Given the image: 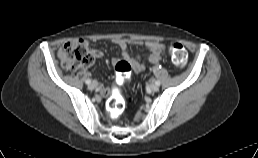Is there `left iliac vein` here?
I'll use <instances>...</instances> for the list:
<instances>
[{
	"mask_svg": "<svg viewBox=\"0 0 258 158\" xmlns=\"http://www.w3.org/2000/svg\"><path fill=\"white\" fill-rule=\"evenodd\" d=\"M150 89H151L152 92H157L159 90V85L151 84Z\"/></svg>",
	"mask_w": 258,
	"mask_h": 158,
	"instance_id": "left-iliac-vein-1",
	"label": "left iliac vein"
}]
</instances>
